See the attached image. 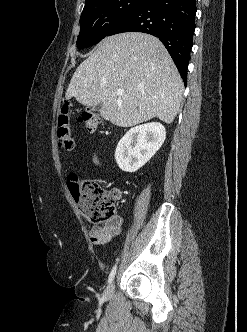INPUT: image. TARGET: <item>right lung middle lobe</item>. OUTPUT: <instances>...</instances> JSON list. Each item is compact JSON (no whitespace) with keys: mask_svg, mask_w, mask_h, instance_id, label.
I'll return each mask as SVG.
<instances>
[{"mask_svg":"<svg viewBox=\"0 0 247 332\" xmlns=\"http://www.w3.org/2000/svg\"><path fill=\"white\" fill-rule=\"evenodd\" d=\"M147 0H100L83 9L80 17L79 49L92 46L105 38L125 15Z\"/></svg>","mask_w":247,"mask_h":332,"instance_id":"right-lung-middle-lobe-1","label":"right lung middle lobe"}]
</instances>
